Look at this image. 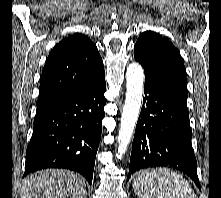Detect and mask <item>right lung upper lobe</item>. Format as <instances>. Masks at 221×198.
I'll return each mask as SVG.
<instances>
[{"instance_id": "obj_1", "label": "right lung upper lobe", "mask_w": 221, "mask_h": 198, "mask_svg": "<svg viewBox=\"0 0 221 198\" xmlns=\"http://www.w3.org/2000/svg\"><path fill=\"white\" fill-rule=\"evenodd\" d=\"M96 45L77 33L60 41L43 68L37 111L85 88L104 75Z\"/></svg>"}]
</instances>
